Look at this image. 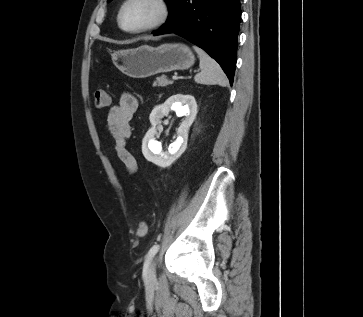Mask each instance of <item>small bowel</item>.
<instances>
[{
  "label": "small bowel",
  "mask_w": 363,
  "mask_h": 317,
  "mask_svg": "<svg viewBox=\"0 0 363 317\" xmlns=\"http://www.w3.org/2000/svg\"><path fill=\"white\" fill-rule=\"evenodd\" d=\"M139 106L138 99L131 93L121 95L107 117V127L113 139V150L129 173L137 170V162L127 149V140L132 134L131 121Z\"/></svg>",
  "instance_id": "small-bowel-1"
}]
</instances>
